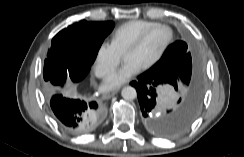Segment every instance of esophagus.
<instances>
[{"label":"esophagus","instance_id":"esophagus-1","mask_svg":"<svg viewBox=\"0 0 244 157\" xmlns=\"http://www.w3.org/2000/svg\"><path fill=\"white\" fill-rule=\"evenodd\" d=\"M118 90H112V91H109V92H106L104 95L107 99L113 97L115 94H117Z\"/></svg>","mask_w":244,"mask_h":157}]
</instances>
